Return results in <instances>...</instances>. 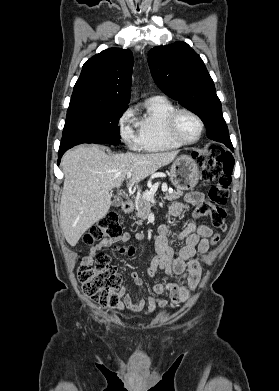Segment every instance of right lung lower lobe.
<instances>
[{"mask_svg":"<svg viewBox=\"0 0 279 391\" xmlns=\"http://www.w3.org/2000/svg\"><path fill=\"white\" fill-rule=\"evenodd\" d=\"M101 143H110V144H114V145H117L120 143V141H116L114 139H103L101 141L98 142V144H101ZM68 149H59V152H58V165L60 163V159L62 157V155L67 151Z\"/></svg>","mask_w":279,"mask_h":391,"instance_id":"98d812e1","label":"right lung lower lobe"}]
</instances>
